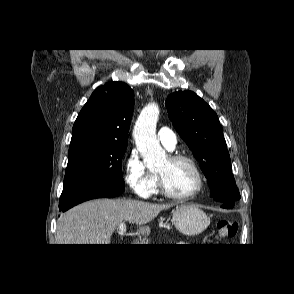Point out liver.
Returning a JSON list of instances; mask_svg holds the SVG:
<instances>
[{
  "instance_id": "1",
  "label": "liver",
  "mask_w": 294,
  "mask_h": 294,
  "mask_svg": "<svg viewBox=\"0 0 294 294\" xmlns=\"http://www.w3.org/2000/svg\"><path fill=\"white\" fill-rule=\"evenodd\" d=\"M171 204H153L131 199H96L84 202L62 214L56 229V244H110L111 235L120 223L145 226Z\"/></svg>"
}]
</instances>
